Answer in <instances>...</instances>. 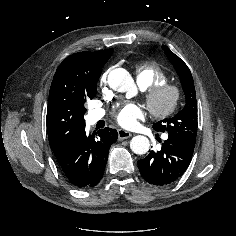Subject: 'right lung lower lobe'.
Wrapping results in <instances>:
<instances>
[{"instance_id":"1","label":"right lung lower lobe","mask_w":236,"mask_h":236,"mask_svg":"<svg viewBox=\"0 0 236 236\" xmlns=\"http://www.w3.org/2000/svg\"><path fill=\"white\" fill-rule=\"evenodd\" d=\"M117 131L99 130L98 135H86L81 128L68 151L58 159L61 170L69 183L79 189L96 186L104 173L110 146L117 141Z\"/></svg>"}]
</instances>
